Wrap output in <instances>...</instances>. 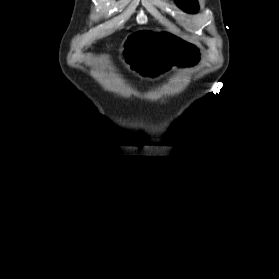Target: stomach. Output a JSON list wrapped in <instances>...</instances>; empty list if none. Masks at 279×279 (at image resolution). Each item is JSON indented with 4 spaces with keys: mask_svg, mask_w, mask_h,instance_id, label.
<instances>
[{
    "mask_svg": "<svg viewBox=\"0 0 279 279\" xmlns=\"http://www.w3.org/2000/svg\"><path fill=\"white\" fill-rule=\"evenodd\" d=\"M145 29H150V26H145ZM171 33V30H132L127 35L125 44L128 49L188 50H125V54H119V59L133 63L129 64V69H137L134 70V75H138V79L158 82V78H177V73L164 72L188 69V64L199 61L201 50L195 44L178 38V34Z\"/></svg>",
    "mask_w": 279,
    "mask_h": 279,
    "instance_id": "1",
    "label": "stomach"
}]
</instances>
